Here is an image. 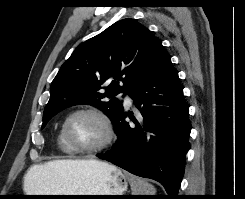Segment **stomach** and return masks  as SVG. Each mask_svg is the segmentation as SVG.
I'll list each match as a JSON object with an SVG mask.
<instances>
[{
    "mask_svg": "<svg viewBox=\"0 0 245 199\" xmlns=\"http://www.w3.org/2000/svg\"><path fill=\"white\" fill-rule=\"evenodd\" d=\"M66 191L49 195H123L128 186L127 175L106 162L94 160L63 179ZM30 195V194H29ZM113 196L45 197L41 199H99Z\"/></svg>",
    "mask_w": 245,
    "mask_h": 199,
    "instance_id": "stomach-1",
    "label": "stomach"
}]
</instances>
